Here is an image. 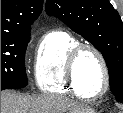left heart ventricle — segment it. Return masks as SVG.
I'll use <instances>...</instances> for the list:
<instances>
[{"label":"left heart ventricle","mask_w":123,"mask_h":113,"mask_svg":"<svg viewBox=\"0 0 123 113\" xmlns=\"http://www.w3.org/2000/svg\"><path fill=\"white\" fill-rule=\"evenodd\" d=\"M76 78L80 91L96 94L102 90L104 84L103 70L97 56L85 51L76 64Z\"/></svg>","instance_id":"b2bd125f"}]
</instances>
